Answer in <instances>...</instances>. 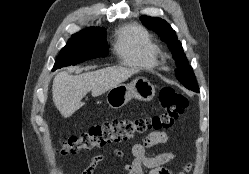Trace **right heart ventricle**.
I'll use <instances>...</instances> for the list:
<instances>
[{"instance_id": "e07e8e85", "label": "right heart ventricle", "mask_w": 249, "mask_h": 174, "mask_svg": "<svg viewBox=\"0 0 249 174\" xmlns=\"http://www.w3.org/2000/svg\"><path fill=\"white\" fill-rule=\"evenodd\" d=\"M115 51L127 66L147 69L158 65V48L149 33L138 24H127L118 30Z\"/></svg>"}]
</instances>
